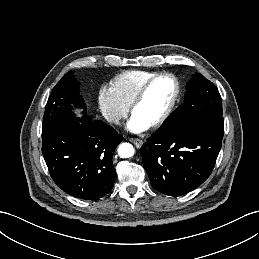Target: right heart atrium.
Wrapping results in <instances>:
<instances>
[{"mask_svg":"<svg viewBox=\"0 0 259 259\" xmlns=\"http://www.w3.org/2000/svg\"><path fill=\"white\" fill-rule=\"evenodd\" d=\"M98 104L103 116L113 124H119L129 113V106L106 86L99 90Z\"/></svg>","mask_w":259,"mask_h":259,"instance_id":"d8ad5b80","label":"right heart atrium"}]
</instances>
